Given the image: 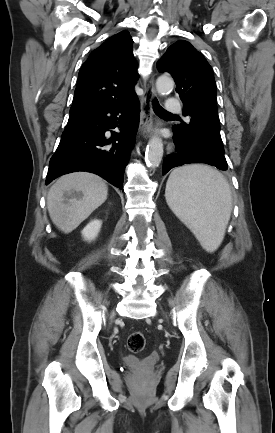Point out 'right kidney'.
<instances>
[{"label": "right kidney", "instance_id": "1", "mask_svg": "<svg viewBox=\"0 0 275 433\" xmlns=\"http://www.w3.org/2000/svg\"><path fill=\"white\" fill-rule=\"evenodd\" d=\"M102 222L100 220H92L90 221L82 230V236L87 241L94 240L100 229H101Z\"/></svg>", "mask_w": 275, "mask_h": 433}]
</instances>
